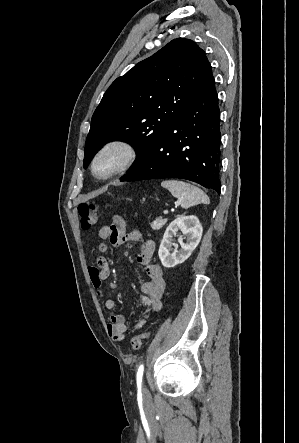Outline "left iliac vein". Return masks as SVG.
Instances as JSON below:
<instances>
[{"instance_id": "4c4485c4", "label": "left iliac vein", "mask_w": 299, "mask_h": 443, "mask_svg": "<svg viewBox=\"0 0 299 443\" xmlns=\"http://www.w3.org/2000/svg\"><path fill=\"white\" fill-rule=\"evenodd\" d=\"M143 394H144V395H147V394H148V391H147V389H146L145 387H143Z\"/></svg>"}]
</instances>
